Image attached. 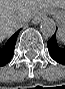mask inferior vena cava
Masks as SVG:
<instances>
[{"label": "inferior vena cava", "mask_w": 65, "mask_h": 89, "mask_svg": "<svg viewBox=\"0 0 65 89\" xmlns=\"http://www.w3.org/2000/svg\"><path fill=\"white\" fill-rule=\"evenodd\" d=\"M28 21L27 18H22L17 22V27L21 28L26 22Z\"/></svg>", "instance_id": "obj_1"}]
</instances>
